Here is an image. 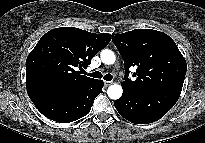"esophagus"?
<instances>
[{
  "mask_svg": "<svg viewBox=\"0 0 205 143\" xmlns=\"http://www.w3.org/2000/svg\"><path fill=\"white\" fill-rule=\"evenodd\" d=\"M111 84H112L111 81H104V85H105V87H108V86H110Z\"/></svg>",
  "mask_w": 205,
  "mask_h": 143,
  "instance_id": "obj_1",
  "label": "esophagus"
}]
</instances>
